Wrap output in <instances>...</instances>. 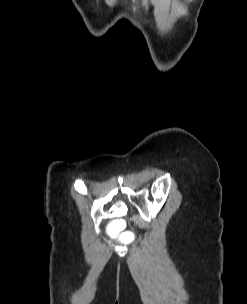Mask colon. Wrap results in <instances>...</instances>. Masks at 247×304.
Instances as JSON below:
<instances>
[{"instance_id":"5ec220e1","label":"colon","mask_w":247,"mask_h":304,"mask_svg":"<svg viewBox=\"0 0 247 304\" xmlns=\"http://www.w3.org/2000/svg\"><path fill=\"white\" fill-rule=\"evenodd\" d=\"M120 219H123V216H120ZM110 230L112 234V238H116L119 242H123V244H134L135 239L129 233H116V232H124L125 227L126 230H129L127 227V220H111L110 221Z\"/></svg>"}]
</instances>
